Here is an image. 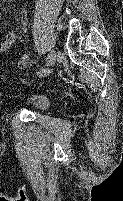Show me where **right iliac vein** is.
Here are the masks:
<instances>
[{"mask_svg": "<svg viewBox=\"0 0 123 201\" xmlns=\"http://www.w3.org/2000/svg\"><path fill=\"white\" fill-rule=\"evenodd\" d=\"M56 56H57V53L55 50H51L49 52L48 57H47V62H46L47 67H50L55 63Z\"/></svg>", "mask_w": 123, "mask_h": 201, "instance_id": "right-iliac-vein-1", "label": "right iliac vein"}]
</instances>
